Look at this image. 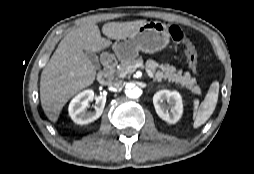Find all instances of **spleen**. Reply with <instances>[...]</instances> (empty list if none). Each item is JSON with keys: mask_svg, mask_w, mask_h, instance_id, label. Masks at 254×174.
I'll return each mask as SVG.
<instances>
[{"mask_svg": "<svg viewBox=\"0 0 254 174\" xmlns=\"http://www.w3.org/2000/svg\"><path fill=\"white\" fill-rule=\"evenodd\" d=\"M219 92V83L213 82L210 89L205 96L203 102L199 105V101H194V113H193V127L198 128L203 125L213 114Z\"/></svg>", "mask_w": 254, "mask_h": 174, "instance_id": "3e777b00", "label": "spleen"}]
</instances>
